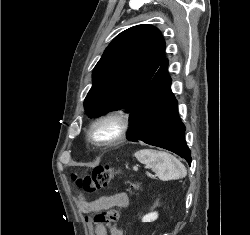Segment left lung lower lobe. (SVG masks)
I'll return each mask as SVG.
<instances>
[{"instance_id": "1", "label": "left lung lower lobe", "mask_w": 250, "mask_h": 235, "mask_svg": "<svg viewBox=\"0 0 250 235\" xmlns=\"http://www.w3.org/2000/svg\"><path fill=\"white\" fill-rule=\"evenodd\" d=\"M167 65L168 60L156 72L131 111L129 140L172 151L190 165L191 151L185 142V127L178 116Z\"/></svg>"}]
</instances>
